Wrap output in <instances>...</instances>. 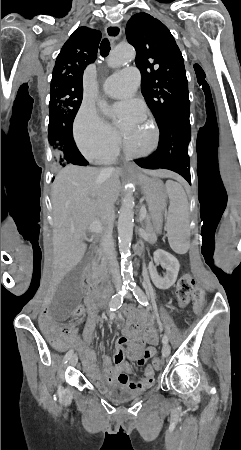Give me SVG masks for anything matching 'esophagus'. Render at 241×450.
Returning a JSON list of instances; mask_svg holds the SVG:
<instances>
[{
    "mask_svg": "<svg viewBox=\"0 0 241 450\" xmlns=\"http://www.w3.org/2000/svg\"><path fill=\"white\" fill-rule=\"evenodd\" d=\"M121 32H122V30H121L120 25L115 24V23H109L105 27L106 36L109 38V40H111V42H114L115 40H117L121 36ZM122 168L132 169L133 164H126Z\"/></svg>",
    "mask_w": 241,
    "mask_h": 450,
    "instance_id": "34e87169",
    "label": "esophagus"
}]
</instances>
